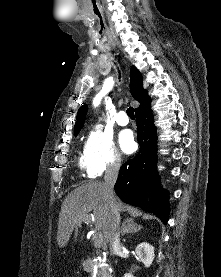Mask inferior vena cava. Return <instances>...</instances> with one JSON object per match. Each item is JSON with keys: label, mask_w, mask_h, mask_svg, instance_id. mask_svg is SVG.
<instances>
[{"label": "inferior vena cava", "mask_w": 221, "mask_h": 277, "mask_svg": "<svg viewBox=\"0 0 221 277\" xmlns=\"http://www.w3.org/2000/svg\"><path fill=\"white\" fill-rule=\"evenodd\" d=\"M120 169L119 162L108 164L104 176V195L107 199L110 220H109V246L111 254H114L120 248V214L117 205L114 202V184L118 177Z\"/></svg>", "instance_id": "1"}]
</instances>
